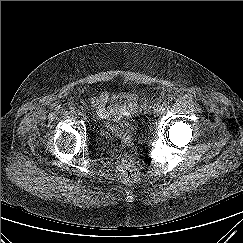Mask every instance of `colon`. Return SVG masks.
I'll use <instances>...</instances> for the list:
<instances>
[{"instance_id":"obj_1","label":"colon","mask_w":243,"mask_h":243,"mask_svg":"<svg viewBox=\"0 0 243 243\" xmlns=\"http://www.w3.org/2000/svg\"><path fill=\"white\" fill-rule=\"evenodd\" d=\"M139 170L131 159H124L117 170V175L122 182H133L139 177Z\"/></svg>"}]
</instances>
